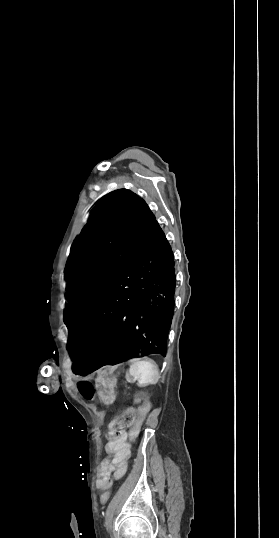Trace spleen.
<instances>
[{
    "label": "spleen",
    "mask_w": 279,
    "mask_h": 538,
    "mask_svg": "<svg viewBox=\"0 0 279 538\" xmlns=\"http://www.w3.org/2000/svg\"><path fill=\"white\" fill-rule=\"evenodd\" d=\"M131 362L130 374L135 376V379L142 378L140 386H149V384L158 382L159 370L154 362H151V360H139V358H134Z\"/></svg>",
    "instance_id": "3e777b00"
}]
</instances>
